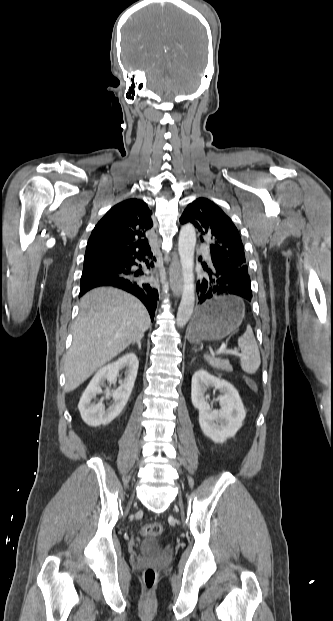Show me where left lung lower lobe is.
<instances>
[{
    "instance_id": "0a47b994",
    "label": "left lung lower lobe",
    "mask_w": 333,
    "mask_h": 621,
    "mask_svg": "<svg viewBox=\"0 0 333 621\" xmlns=\"http://www.w3.org/2000/svg\"><path fill=\"white\" fill-rule=\"evenodd\" d=\"M210 267L204 265L208 273L196 286L199 303L224 295H237L251 301L252 291L248 270L234 268L228 261L210 254Z\"/></svg>"
}]
</instances>
